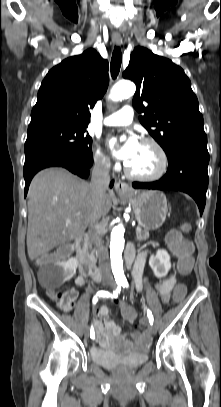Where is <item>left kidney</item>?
Wrapping results in <instances>:
<instances>
[{"label": "left kidney", "instance_id": "1", "mask_svg": "<svg viewBox=\"0 0 221 407\" xmlns=\"http://www.w3.org/2000/svg\"><path fill=\"white\" fill-rule=\"evenodd\" d=\"M149 265L157 278H164L171 269L170 255L166 250H158L149 259Z\"/></svg>", "mask_w": 221, "mask_h": 407}]
</instances>
